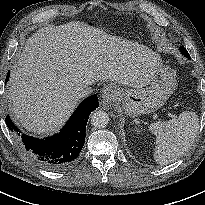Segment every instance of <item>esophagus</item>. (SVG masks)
Here are the masks:
<instances>
[{"mask_svg":"<svg viewBox=\"0 0 205 205\" xmlns=\"http://www.w3.org/2000/svg\"><path fill=\"white\" fill-rule=\"evenodd\" d=\"M103 105H108L117 99V91L112 87H104L101 91Z\"/></svg>","mask_w":205,"mask_h":205,"instance_id":"34e87169","label":"esophagus"}]
</instances>
